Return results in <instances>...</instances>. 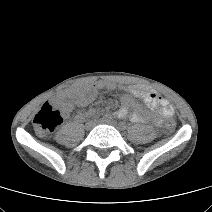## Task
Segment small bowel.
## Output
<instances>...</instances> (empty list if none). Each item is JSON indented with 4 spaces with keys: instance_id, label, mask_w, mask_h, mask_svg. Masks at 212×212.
Here are the masks:
<instances>
[{
    "instance_id": "small-bowel-1",
    "label": "small bowel",
    "mask_w": 212,
    "mask_h": 212,
    "mask_svg": "<svg viewBox=\"0 0 212 212\" xmlns=\"http://www.w3.org/2000/svg\"><path fill=\"white\" fill-rule=\"evenodd\" d=\"M117 85L113 81L98 80L92 83H84L73 87L62 95L58 101L62 115L67 118L74 112L75 106L82 108L89 105L100 90L113 91ZM124 91L121 96V106L115 111L117 118H125L130 108L134 112L130 115L133 122H147L151 120L156 125H161L165 118L173 117L174 110L169 102L152 90L144 89L137 86H121ZM141 99L148 107L159 109V115H150L143 111L135 102V99ZM90 111H78L77 119L82 120Z\"/></svg>"
}]
</instances>
